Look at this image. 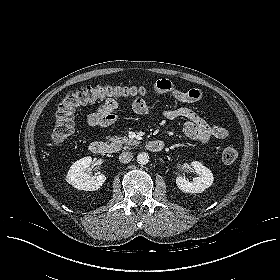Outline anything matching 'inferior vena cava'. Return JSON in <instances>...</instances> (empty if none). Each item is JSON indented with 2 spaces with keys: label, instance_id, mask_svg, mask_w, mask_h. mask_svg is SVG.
<instances>
[{
  "label": "inferior vena cava",
  "instance_id": "obj_1",
  "mask_svg": "<svg viewBox=\"0 0 280 280\" xmlns=\"http://www.w3.org/2000/svg\"><path fill=\"white\" fill-rule=\"evenodd\" d=\"M133 158V154L131 152H122L119 156V161L121 163H129Z\"/></svg>",
  "mask_w": 280,
  "mask_h": 280
}]
</instances>
